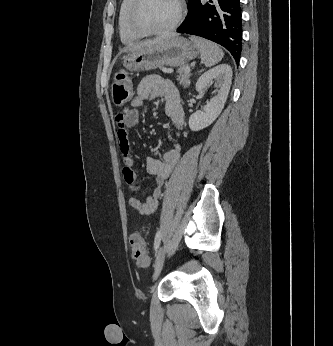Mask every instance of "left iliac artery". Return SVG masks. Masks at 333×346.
<instances>
[{
	"instance_id": "obj_1",
	"label": "left iliac artery",
	"mask_w": 333,
	"mask_h": 346,
	"mask_svg": "<svg viewBox=\"0 0 333 346\" xmlns=\"http://www.w3.org/2000/svg\"><path fill=\"white\" fill-rule=\"evenodd\" d=\"M160 241H161V232L158 231L156 233L155 241H154V249H155V251H157V249L159 248Z\"/></svg>"
}]
</instances>
